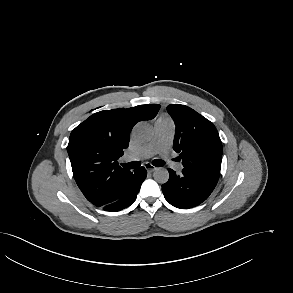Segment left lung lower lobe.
Masks as SVG:
<instances>
[{
	"label": "left lung lower lobe",
	"instance_id": "1",
	"mask_svg": "<svg viewBox=\"0 0 293 293\" xmlns=\"http://www.w3.org/2000/svg\"><path fill=\"white\" fill-rule=\"evenodd\" d=\"M169 171V180L162 185L165 199L181 209L195 207L205 201L214 190L217 177L198 171L183 169L181 174Z\"/></svg>",
	"mask_w": 293,
	"mask_h": 293
}]
</instances>
